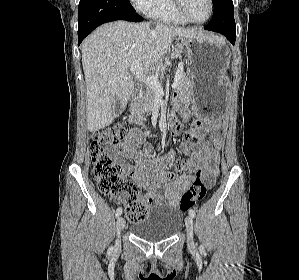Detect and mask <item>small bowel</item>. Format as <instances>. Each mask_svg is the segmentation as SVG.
Returning <instances> with one entry per match:
<instances>
[{
	"label": "small bowel",
	"mask_w": 299,
	"mask_h": 280,
	"mask_svg": "<svg viewBox=\"0 0 299 280\" xmlns=\"http://www.w3.org/2000/svg\"><path fill=\"white\" fill-rule=\"evenodd\" d=\"M171 129L176 134L180 132L181 123L178 119L172 121ZM201 129L202 132L194 136V144H190L186 138L180 144L181 150L189 156L190 167L179 176L167 171L166 160L155 157L151 146L141 138L130 137L112 149L115 154L136 162L135 166H131L120 160L131 179L147 191L145 199L148 208L180 206L198 170L202 171L205 181L214 184L219 174L223 127L218 120H208L201 125ZM206 134L210 138L203 141Z\"/></svg>",
	"instance_id": "c3829d8e"
}]
</instances>
